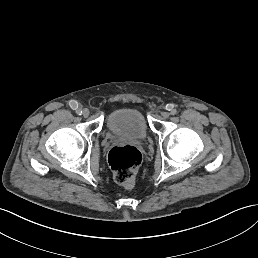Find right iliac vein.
Segmentation results:
<instances>
[{
    "label": "right iliac vein",
    "mask_w": 258,
    "mask_h": 258,
    "mask_svg": "<svg viewBox=\"0 0 258 258\" xmlns=\"http://www.w3.org/2000/svg\"><path fill=\"white\" fill-rule=\"evenodd\" d=\"M81 114L83 117H89L90 116V111L88 108H84L82 111H81Z\"/></svg>",
    "instance_id": "right-iliac-vein-1"
}]
</instances>
